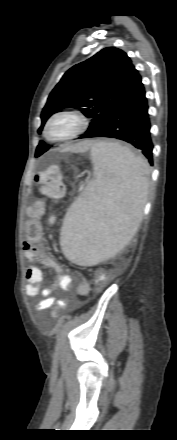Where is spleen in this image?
Returning <instances> with one entry per match:
<instances>
[{
	"label": "spleen",
	"instance_id": "3e777b00",
	"mask_svg": "<svg viewBox=\"0 0 177 440\" xmlns=\"http://www.w3.org/2000/svg\"><path fill=\"white\" fill-rule=\"evenodd\" d=\"M95 180L69 207L61 227L65 257L95 265L114 257L133 238L143 216L148 163L119 143L91 150Z\"/></svg>",
	"mask_w": 177,
	"mask_h": 440
}]
</instances>
